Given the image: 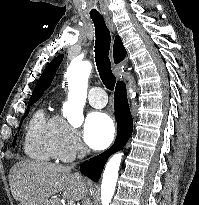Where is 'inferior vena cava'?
Returning a JSON list of instances; mask_svg holds the SVG:
<instances>
[{"label":"inferior vena cava","mask_w":199,"mask_h":205,"mask_svg":"<svg viewBox=\"0 0 199 205\" xmlns=\"http://www.w3.org/2000/svg\"><path fill=\"white\" fill-rule=\"evenodd\" d=\"M86 153H87V147L84 144H81L79 146L78 158L79 159L84 158ZM73 166L74 165L69 166V168L71 169ZM83 205H92V204L90 203V200L88 198H85V200L83 201Z\"/></svg>","instance_id":"obj_1"}]
</instances>
